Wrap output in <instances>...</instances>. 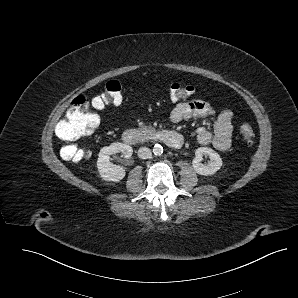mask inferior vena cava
Wrapping results in <instances>:
<instances>
[{
  "label": "inferior vena cava",
  "mask_w": 298,
  "mask_h": 298,
  "mask_svg": "<svg viewBox=\"0 0 298 298\" xmlns=\"http://www.w3.org/2000/svg\"><path fill=\"white\" fill-rule=\"evenodd\" d=\"M152 156V152L147 147H141L138 150V157L141 159H148Z\"/></svg>",
  "instance_id": "602c4592"
}]
</instances>
